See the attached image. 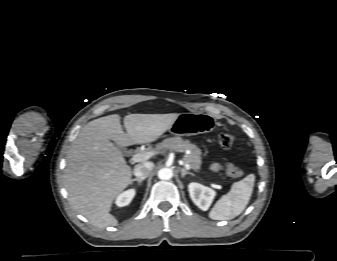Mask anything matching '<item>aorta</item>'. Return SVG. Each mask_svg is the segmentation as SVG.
Returning <instances> with one entry per match:
<instances>
[{
  "label": "aorta",
  "instance_id": "aorta-1",
  "mask_svg": "<svg viewBox=\"0 0 337 261\" xmlns=\"http://www.w3.org/2000/svg\"><path fill=\"white\" fill-rule=\"evenodd\" d=\"M158 177L161 180H169L173 177V172L170 168H162L158 171Z\"/></svg>",
  "mask_w": 337,
  "mask_h": 261
}]
</instances>
